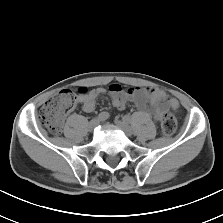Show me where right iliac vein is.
I'll return each mask as SVG.
<instances>
[{"label": "right iliac vein", "instance_id": "1", "mask_svg": "<svg viewBox=\"0 0 223 223\" xmlns=\"http://www.w3.org/2000/svg\"><path fill=\"white\" fill-rule=\"evenodd\" d=\"M99 124V121L97 119H93L88 124V130L91 132L94 130V128Z\"/></svg>", "mask_w": 223, "mask_h": 223}]
</instances>
